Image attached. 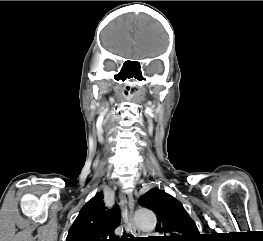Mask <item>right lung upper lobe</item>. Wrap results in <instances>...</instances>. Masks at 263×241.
<instances>
[{
	"mask_svg": "<svg viewBox=\"0 0 263 241\" xmlns=\"http://www.w3.org/2000/svg\"><path fill=\"white\" fill-rule=\"evenodd\" d=\"M103 192L97 193L80 210L66 241H119L114 235L120 224L118 206L108 209Z\"/></svg>",
	"mask_w": 263,
	"mask_h": 241,
	"instance_id": "cb5924a9",
	"label": "right lung upper lobe"
}]
</instances>
